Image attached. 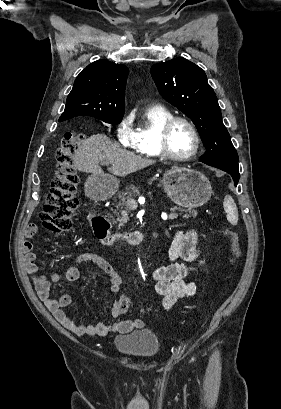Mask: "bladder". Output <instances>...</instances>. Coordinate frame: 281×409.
I'll list each match as a JSON object with an SVG mask.
<instances>
[{"label":"bladder","instance_id":"1","mask_svg":"<svg viewBox=\"0 0 281 409\" xmlns=\"http://www.w3.org/2000/svg\"><path fill=\"white\" fill-rule=\"evenodd\" d=\"M116 353L138 360H151L161 353L158 335L150 328L138 327L113 339Z\"/></svg>","mask_w":281,"mask_h":409}]
</instances>
